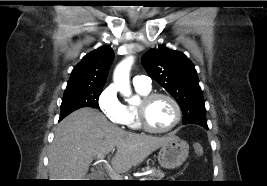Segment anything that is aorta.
I'll use <instances>...</instances> for the list:
<instances>
[{
  "label": "aorta",
  "mask_w": 267,
  "mask_h": 186,
  "mask_svg": "<svg viewBox=\"0 0 267 186\" xmlns=\"http://www.w3.org/2000/svg\"><path fill=\"white\" fill-rule=\"evenodd\" d=\"M132 63L133 57H128L123 60L114 71V83L118 90L126 97L131 95L129 73Z\"/></svg>",
  "instance_id": "aorta-1"
}]
</instances>
